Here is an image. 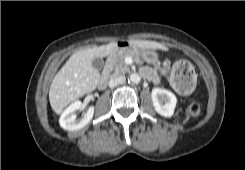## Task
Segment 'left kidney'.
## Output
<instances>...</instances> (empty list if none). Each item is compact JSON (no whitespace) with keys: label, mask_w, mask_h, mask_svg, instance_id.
I'll list each match as a JSON object with an SVG mask.
<instances>
[{"label":"left kidney","mask_w":245,"mask_h":170,"mask_svg":"<svg viewBox=\"0 0 245 170\" xmlns=\"http://www.w3.org/2000/svg\"><path fill=\"white\" fill-rule=\"evenodd\" d=\"M151 98L158 114L164 117L173 116L177 98L171 91L162 88H153Z\"/></svg>","instance_id":"left-kidney-1"}]
</instances>
